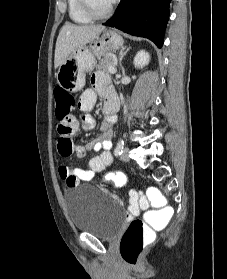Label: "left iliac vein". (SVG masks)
<instances>
[{
	"instance_id": "left-iliac-vein-1",
	"label": "left iliac vein",
	"mask_w": 227,
	"mask_h": 279,
	"mask_svg": "<svg viewBox=\"0 0 227 279\" xmlns=\"http://www.w3.org/2000/svg\"><path fill=\"white\" fill-rule=\"evenodd\" d=\"M129 148H124L122 154L120 155V158L124 162H128L130 160L129 158Z\"/></svg>"
}]
</instances>
